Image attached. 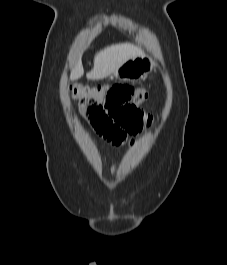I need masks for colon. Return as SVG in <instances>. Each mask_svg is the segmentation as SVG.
I'll return each mask as SVG.
<instances>
[{
	"mask_svg": "<svg viewBox=\"0 0 227 265\" xmlns=\"http://www.w3.org/2000/svg\"><path fill=\"white\" fill-rule=\"evenodd\" d=\"M70 94L80 102H103L107 116L115 120V125L134 135L140 132L150 118H145L140 105L149 97L144 88H137L125 83L112 85L73 84Z\"/></svg>",
	"mask_w": 227,
	"mask_h": 265,
	"instance_id": "1",
	"label": "colon"
}]
</instances>
